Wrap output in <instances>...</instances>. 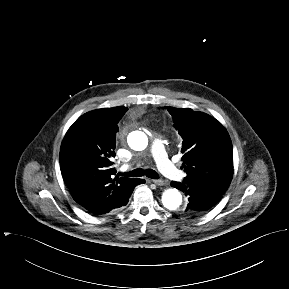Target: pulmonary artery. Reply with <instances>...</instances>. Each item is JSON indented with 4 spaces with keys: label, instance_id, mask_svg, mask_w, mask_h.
<instances>
[{
    "label": "pulmonary artery",
    "instance_id": "e3ab8cb5",
    "mask_svg": "<svg viewBox=\"0 0 289 289\" xmlns=\"http://www.w3.org/2000/svg\"><path fill=\"white\" fill-rule=\"evenodd\" d=\"M151 152L159 170L166 177L175 181H181L184 178V173L168 159L164 145L160 139H155L153 141Z\"/></svg>",
    "mask_w": 289,
    "mask_h": 289
}]
</instances>
